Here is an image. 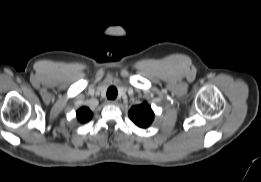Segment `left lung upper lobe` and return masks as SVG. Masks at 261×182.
<instances>
[{
  "mask_svg": "<svg viewBox=\"0 0 261 182\" xmlns=\"http://www.w3.org/2000/svg\"><path fill=\"white\" fill-rule=\"evenodd\" d=\"M130 119L139 127H148L154 118V113L147 103L133 106L129 110Z\"/></svg>",
  "mask_w": 261,
  "mask_h": 182,
  "instance_id": "5c2ea615",
  "label": "left lung upper lobe"
}]
</instances>
